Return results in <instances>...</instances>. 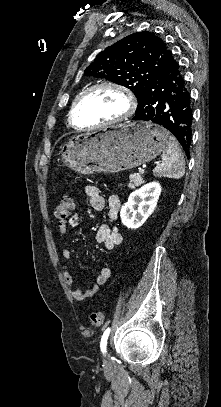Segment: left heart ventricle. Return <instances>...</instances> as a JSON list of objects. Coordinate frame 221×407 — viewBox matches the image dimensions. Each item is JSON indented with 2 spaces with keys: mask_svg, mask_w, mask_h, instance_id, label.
Instances as JSON below:
<instances>
[{
  "mask_svg": "<svg viewBox=\"0 0 221 407\" xmlns=\"http://www.w3.org/2000/svg\"><path fill=\"white\" fill-rule=\"evenodd\" d=\"M127 109L124 95L114 89H99L88 95L76 112L78 127L103 123L121 116Z\"/></svg>",
  "mask_w": 221,
  "mask_h": 407,
  "instance_id": "b2bd125f",
  "label": "left heart ventricle"
}]
</instances>
